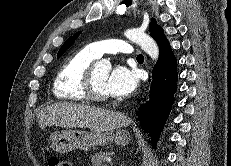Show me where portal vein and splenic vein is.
Wrapping results in <instances>:
<instances>
[{"instance_id": "18ae733b", "label": "portal vein and splenic vein", "mask_w": 231, "mask_h": 166, "mask_svg": "<svg viewBox=\"0 0 231 166\" xmlns=\"http://www.w3.org/2000/svg\"><path fill=\"white\" fill-rule=\"evenodd\" d=\"M105 161H106L107 163H111L112 159H111L110 157H107V158L105 159Z\"/></svg>"}]
</instances>
